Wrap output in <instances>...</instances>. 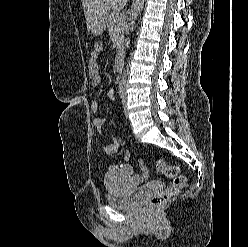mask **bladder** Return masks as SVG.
<instances>
[{"label":"bladder","instance_id":"31cf9c89","mask_svg":"<svg viewBox=\"0 0 248 247\" xmlns=\"http://www.w3.org/2000/svg\"><path fill=\"white\" fill-rule=\"evenodd\" d=\"M108 203L116 208H131L146 191L145 187L131 189L126 175L121 170H111L104 178Z\"/></svg>","mask_w":248,"mask_h":247}]
</instances>
